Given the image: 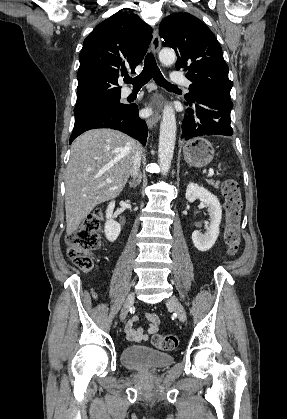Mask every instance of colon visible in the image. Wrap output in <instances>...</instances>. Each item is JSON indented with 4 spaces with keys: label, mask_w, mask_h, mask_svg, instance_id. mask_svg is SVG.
<instances>
[{
    "label": "colon",
    "mask_w": 287,
    "mask_h": 419,
    "mask_svg": "<svg viewBox=\"0 0 287 419\" xmlns=\"http://www.w3.org/2000/svg\"><path fill=\"white\" fill-rule=\"evenodd\" d=\"M221 193L226 210L224 240L227 254L233 256L238 253L241 245V213L243 202L238 183L226 179L221 184ZM103 211L95 209L87 215L81 225L67 237V256L73 264L83 271H90L94 266L93 252L99 248ZM152 344L160 350H173L179 344L176 335L156 334L152 337Z\"/></svg>",
    "instance_id": "5ec220e1"
}]
</instances>
